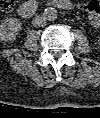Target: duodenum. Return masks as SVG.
I'll use <instances>...</instances> for the list:
<instances>
[{
    "mask_svg": "<svg viewBox=\"0 0 100 118\" xmlns=\"http://www.w3.org/2000/svg\"><path fill=\"white\" fill-rule=\"evenodd\" d=\"M40 6H55L62 9H72L73 4L69 0H29L18 7V14L30 17L36 13Z\"/></svg>",
    "mask_w": 100,
    "mask_h": 118,
    "instance_id": "obj_1",
    "label": "duodenum"
}]
</instances>
